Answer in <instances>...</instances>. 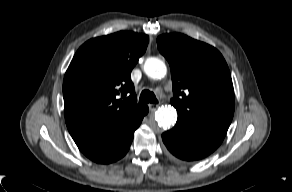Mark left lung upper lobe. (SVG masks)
Masks as SVG:
<instances>
[{"mask_svg":"<svg viewBox=\"0 0 292 192\" xmlns=\"http://www.w3.org/2000/svg\"><path fill=\"white\" fill-rule=\"evenodd\" d=\"M171 67L176 126L225 136L235 99L226 61L214 47L180 33L157 38Z\"/></svg>","mask_w":292,"mask_h":192,"instance_id":"obj_1","label":"left lung upper lobe"}]
</instances>
